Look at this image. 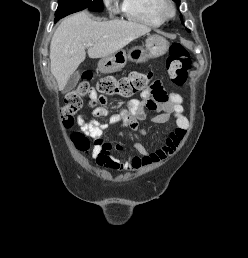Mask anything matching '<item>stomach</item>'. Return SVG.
I'll return each mask as SVG.
<instances>
[{"label": "stomach", "instance_id": "0dacf381", "mask_svg": "<svg viewBox=\"0 0 248 258\" xmlns=\"http://www.w3.org/2000/svg\"><path fill=\"white\" fill-rule=\"evenodd\" d=\"M169 49L168 41L158 35L149 36L144 47H133L129 51L119 50L102 58L98 69L102 73H114L123 69L128 61L142 63L164 55Z\"/></svg>", "mask_w": 248, "mask_h": 258}]
</instances>
